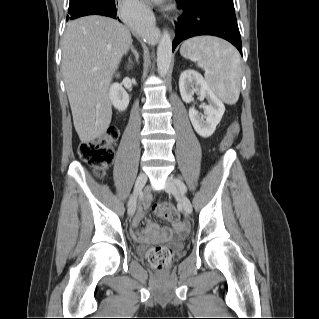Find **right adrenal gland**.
<instances>
[{
  "label": "right adrenal gland",
  "instance_id": "1",
  "mask_svg": "<svg viewBox=\"0 0 319 319\" xmlns=\"http://www.w3.org/2000/svg\"><path fill=\"white\" fill-rule=\"evenodd\" d=\"M129 49L131 50V52L135 56L136 62L139 64V54H138L137 50L134 48V46L132 45V43L130 44Z\"/></svg>",
  "mask_w": 319,
  "mask_h": 319
}]
</instances>
